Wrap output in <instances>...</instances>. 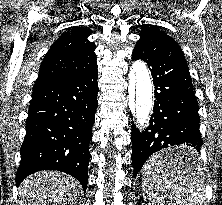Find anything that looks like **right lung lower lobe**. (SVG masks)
<instances>
[{
  "label": "right lung lower lobe",
  "instance_id": "right-lung-lower-lobe-1",
  "mask_svg": "<svg viewBox=\"0 0 222 205\" xmlns=\"http://www.w3.org/2000/svg\"><path fill=\"white\" fill-rule=\"evenodd\" d=\"M97 66L73 77L35 83L21 146L17 186L40 170L76 178L86 191L89 143L98 107Z\"/></svg>",
  "mask_w": 222,
  "mask_h": 205
}]
</instances>
